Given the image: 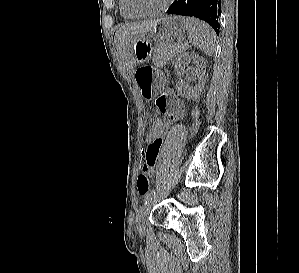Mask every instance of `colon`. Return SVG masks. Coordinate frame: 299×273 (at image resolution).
Instances as JSON below:
<instances>
[{"instance_id": "obj_1", "label": "colon", "mask_w": 299, "mask_h": 273, "mask_svg": "<svg viewBox=\"0 0 299 273\" xmlns=\"http://www.w3.org/2000/svg\"><path fill=\"white\" fill-rule=\"evenodd\" d=\"M167 126L168 121L166 119L155 117L148 129L147 141H153L163 136V133ZM137 189L139 194L143 196L147 195L150 191L149 178L143 172L137 178Z\"/></svg>"}]
</instances>
